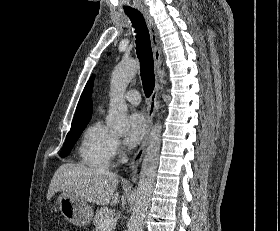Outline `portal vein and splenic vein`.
I'll return each instance as SVG.
<instances>
[{
    "mask_svg": "<svg viewBox=\"0 0 280 231\" xmlns=\"http://www.w3.org/2000/svg\"><path fill=\"white\" fill-rule=\"evenodd\" d=\"M117 219L115 217H111V219H105L104 223H102V231H111L112 227L116 225Z\"/></svg>",
    "mask_w": 280,
    "mask_h": 231,
    "instance_id": "portal-vein-and-splenic-vein-1",
    "label": "portal vein and splenic vein"
}]
</instances>
